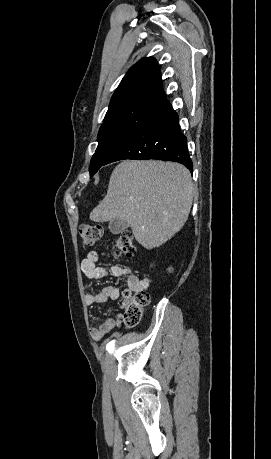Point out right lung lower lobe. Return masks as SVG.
Here are the masks:
<instances>
[{"label":"right lung lower lobe","instance_id":"right-lung-lower-lobe-1","mask_svg":"<svg viewBox=\"0 0 271 459\" xmlns=\"http://www.w3.org/2000/svg\"><path fill=\"white\" fill-rule=\"evenodd\" d=\"M123 159L174 161L193 171L187 138L180 131L178 115L171 106L137 130L109 157L106 164Z\"/></svg>","mask_w":271,"mask_h":459}]
</instances>
